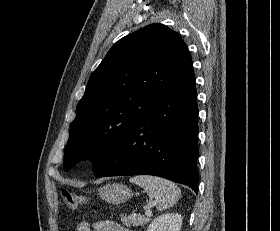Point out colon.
<instances>
[{"mask_svg":"<svg viewBox=\"0 0 280 231\" xmlns=\"http://www.w3.org/2000/svg\"><path fill=\"white\" fill-rule=\"evenodd\" d=\"M62 200L64 201L66 206L71 209L81 208L84 205V202L81 198L73 195L72 193L66 190L62 191Z\"/></svg>","mask_w":280,"mask_h":231,"instance_id":"obj_1","label":"colon"}]
</instances>
